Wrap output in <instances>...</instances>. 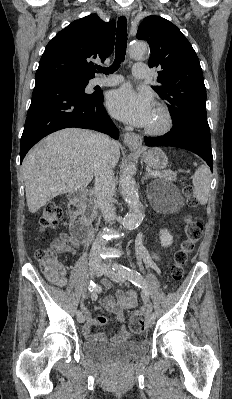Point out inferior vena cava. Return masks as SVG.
Segmentation results:
<instances>
[{
  "instance_id": "obj_1",
  "label": "inferior vena cava",
  "mask_w": 232,
  "mask_h": 399,
  "mask_svg": "<svg viewBox=\"0 0 232 399\" xmlns=\"http://www.w3.org/2000/svg\"><path fill=\"white\" fill-rule=\"evenodd\" d=\"M95 140L102 146V154L99 158L97 166L94 168L95 172V192L99 200L101 211L107 219H113L115 217L114 207V192H115V178L113 170L109 164L110 146H113L114 142L110 140L109 136L105 134H94ZM106 247L105 241H94L92 247H90V262L101 263L102 259L98 256V252H101Z\"/></svg>"
}]
</instances>
